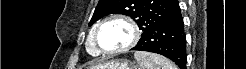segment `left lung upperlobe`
Listing matches in <instances>:
<instances>
[{"label":"left lung upper lobe","mask_w":246,"mask_h":69,"mask_svg":"<svg viewBox=\"0 0 246 69\" xmlns=\"http://www.w3.org/2000/svg\"><path fill=\"white\" fill-rule=\"evenodd\" d=\"M178 7L177 0H99L89 26L103 16L118 13L130 16L144 32Z\"/></svg>","instance_id":"left-lung-upper-lobe-1"}]
</instances>
